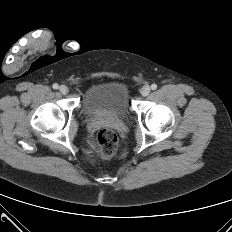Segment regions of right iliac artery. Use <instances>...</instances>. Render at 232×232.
Returning a JSON list of instances; mask_svg holds the SVG:
<instances>
[{
	"mask_svg": "<svg viewBox=\"0 0 232 232\" xmlns=\"http://www.w3.org/2000/svg\"><path fill=\"white\" fill-rule=\"evenodd\" d=\"M52 87H53V89H58V87H59V86H58V84H57V83H55V84H53V86H52Z\"/></svg>",
	"mask_w": 232,
	"mask_h": 232,
	"instance_id": "1",
	"label": "right iliac artery"
}]
</instances>
